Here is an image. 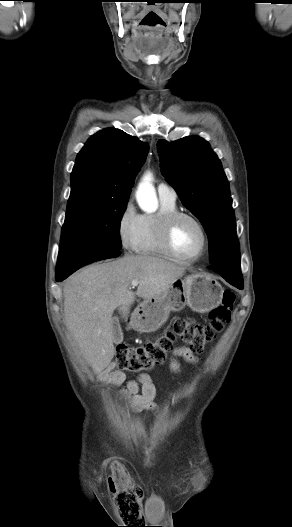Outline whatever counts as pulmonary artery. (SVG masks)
<instances>
[{
	"label": "pulmonary artery",
	"mask_w": 292,
	"mask_h": 527,
	"mask_svg": "<svg viewBox=\"0 0 292 527\" xmlns=\"http://www.w3.org/2000/svg\"><path fill=\"white\" fill-rule=\"evenodd\" d=\"M157 190H158L160 197H165V198L176 200L177 193L175 189L172 188L171 186L165 183H160L157 187Z\"/></svg>",
	"instance_id": "pulmonary-artery-1"
}]
</instances>
